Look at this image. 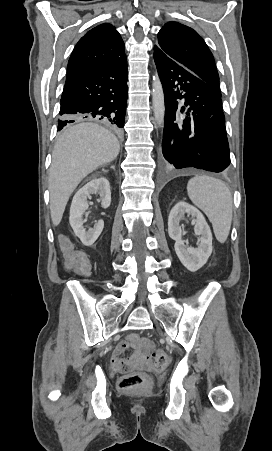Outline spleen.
Here are the masks:
<instances>
[{"mask_svg":"<svg viewBox=\"0 0 272 451\" xmlns=\"http://www.w3.org/2000/svg\"><path fill=\"white\" fill-rule=\"evenodd\" d=\"M188 196L209 218L220 243L226 241L232 224V196L222 182L210 176H195L187 184Z\"/></svg>","mask_w":272,"mask_h":451,"instance_id":"1","label":"spleen"}]
</instances>
